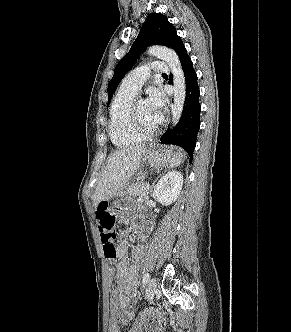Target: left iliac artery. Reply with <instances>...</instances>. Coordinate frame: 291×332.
I'll return each instance as SVG.
<instances>
[{
	"label": "left iliac artery",
	"mask_w": 291,
	"mask_h": 332,
	"mask_svg": "<svg viewBox=\"0 0 291 332\" xmlns=\"http://www.w3.org/2000/svg\"><path fill=\"white\" fill-rule=\"evenodd\" d=\"M149 278H150L149 274L145 273L144 276H143V280H142L143 283L146 284L149 281Z\"/></svg>",
	"instance_id": "left-iliac-artery-1"
}]
</instances>
